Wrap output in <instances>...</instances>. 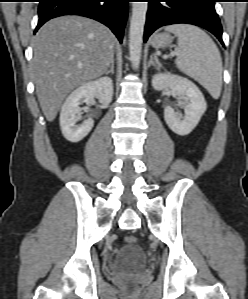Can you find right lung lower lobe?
Returning <instances> with one entry per match:
<instances>
[{
  "label": "right lung lower lobe",
  "instance_id": "obj_1",
  "mask_svg": "<svg viewBox=\"0 0 248 299\" xmlns=\"http://www.w3.org/2000/svg\"><path fill=\"white\" fill-rule=\"evenodd\" d=\"M129 0H40L39 21L35 32L48 20L63 15H81L95 19L122 42Z\"/></svg>",
  "mask_w": 248,
  "mask_h": 299
}]
</instances>
